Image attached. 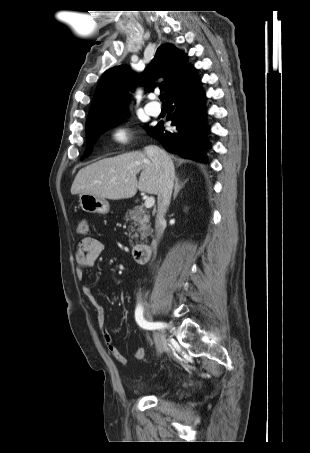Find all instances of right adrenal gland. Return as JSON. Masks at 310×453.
<instances>
[{"label": "right adrenal gland", "instance_id": "obj_1", "mask_svg": "<svg viewBox=\"0 0 310 453\" xmlns=\"http://www.w3.org/2000/svg\"><path fill=\"white\" fill-rule=\"evenodd\" d=\"M188 180H185L184 182H180L178 176L175 177V186H174V193H173V200L176 199L179 191L184 187L185 183Z\"/></svg>", "mask_w": 310, "mask_h": 453}]
</instances>
